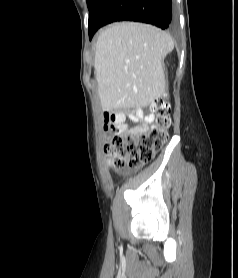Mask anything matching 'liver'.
<instances>
[{
  "label": "liver",
  "instance_id": "6515ba94",
  "mask_svg": "<svg viewBox=\"0 0 238 278\" xmlns=\"http://www.w3.org/2000/svg\"><path fill=\"white\" fill-rule=\"evenodd\" d=\"M172 37L152 25L115 23L100 32L94 72L104 111L153 105L165 90L162 61Z\"/></svg>",
  "mask_w": 238,
  "mask_h": 278
}]
</instances>
